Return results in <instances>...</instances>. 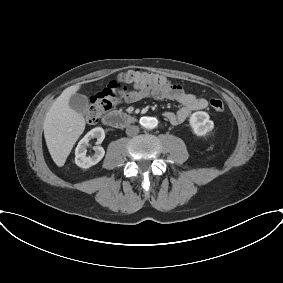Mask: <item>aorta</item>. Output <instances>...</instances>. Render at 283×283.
Masks as SVG:
<instances>
[{
  "mask_svg": "<svg viewBox=\"0 0 283 283\" xmlns=\"http://www.w3.org/2000/svg\"><path fill=\"white\" fill-rule=\"evenodd\" d=\"M140 123L143 127L147 129H153L157 125V119L154 117L145 116L141 118Z\"/></svg>",
  "mask_w": 283,
  "mask_h": 283,
  "instance_id": "1",
  "label": "aorta"
}]
</instances>
